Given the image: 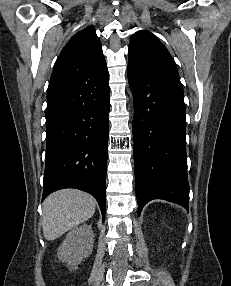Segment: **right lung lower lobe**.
Segmentation results:
<instances>
[{"instance_id": "1", "label": "right lung lower lobe", "mask_w": 231, "mask_h": 286, "mask_svg": "<svg viewBox=\"0 0 231 286\" xmlns=\"http://www.w3.org/2000/svg\"><path fill=\"white\" fill-rule=\"evenodd\" d=\"M108 72L80 82L46 110V165L43 199L76 188L97 200L105 218V179L110 109Z\"/></svg>"}]
</instances>
